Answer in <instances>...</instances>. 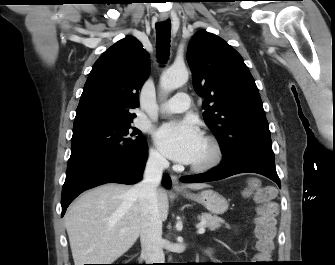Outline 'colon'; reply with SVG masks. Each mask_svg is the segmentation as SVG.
<instances>
[{"label": "colon", "instance_id": "colon-1", "mask_svg": "<svg viewBox=\"0 0 335 265\" xmlns=\"http://www.w3.org/2000/svg\"><path fill=\"white\" fill-rule=\"evenodd\" d=\"M248 196H252L258 204L255 220L257 265H269L271 254L274 250L276 205L273 202L274 191L268 186H262L260 181L252 178L248 182L246 190Z\"/></svg>", "mask_w": 335, "mask_h": 265}]
</instances>
